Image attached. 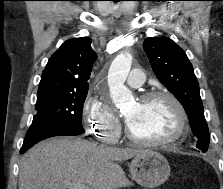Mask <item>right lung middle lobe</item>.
I'll use <instances>...</instances> for the list:
<instances>
[{
	"instance_id": "obj_1",
	"label": "right lung middle lobe",
	"mask_w": 223,
	"mask_h": 189,
	"mask_svg": "<svg viewBox=\"0 0 223 189\" xmlns=\"http://www.w3.org/2000/svg\"><path fill=\"white\" fill-rule=\"evenodd\" d=\"M87 93L88 89L38 93L33 121L60 123L84 133L81 118Z\"/></svg>"
}]
</instances>
